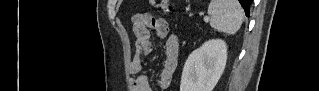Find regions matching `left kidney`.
<instances>
[{"instance_id":"5707ae66","label":"left kidney","mask_w":319,"mask_h":91,"mask_svg":"<svg viewBox=\"0 0 319 91\" xmlns=\"http://www.w3.org/2000/svg\"><path fill=\"white\" fill-rule=\"evenodd\" d=\"M227 45L211 39L194 50L185 62L180 91H212L226 66Z\"/></svg>"}]
</instances>
